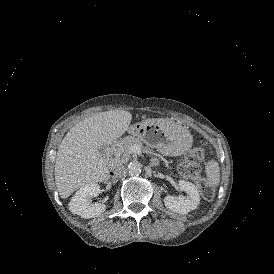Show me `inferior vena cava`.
Wrapping results in <instances>:
<instances>
[{
    "mask_svg": "<svg viewBox=\"0 0 274 274\" xmlns=\"http://www.w3.org/2000/svg\"><path fill=\"white\" fill-rule=\"evenodd\" d=\"M128 169L125 166H119L116 170H115V175L117 177H123L126 175Z\"/></svg>",
    "mask_w": 274,
    "mask_h": 274,
    "instance_id": "1",
    "label": "inferior vena cava"
}]
</instances>
